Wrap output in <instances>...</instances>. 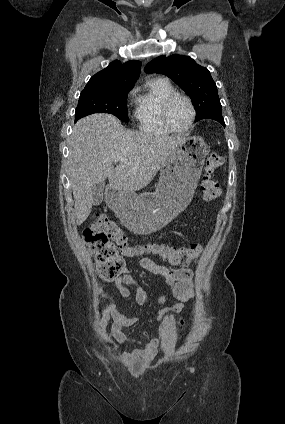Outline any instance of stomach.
Here are the masks:
<instances>
[{
	"instance_id": "1",
	"label": "stomach",
	"mask_w": 285,
	"mask_h": 424,
	"mask_svg": "<svg viewBox=\"0 0 285 424\" xmlns=\"http://www.w3.org/2000/svg\"><path fill=\"white\" fill-rule=\"evenodd\" d=\"M207 153L208 147L202 139L187 138L161 164L155 192L137 195L114 191L108 205L135 233L149 234L160 230L191 202Z\"/></svg>"
}]
</instances>
